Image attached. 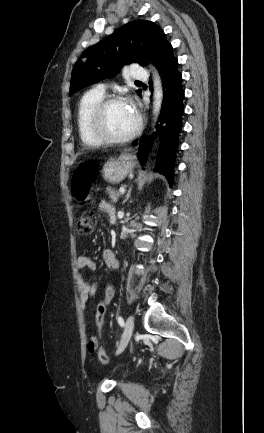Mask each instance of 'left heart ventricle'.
Here are the masks:
<instances>
[{"mask_svg":"<svg viewBox=\"0 0 264 433\" xmlns=\"http://www.w3.org/2000/svg\"><path fill=\"white\" fill-rule=\"evenodd\" d=\"M137 115L128 103L110 106L105 114V129L113 136H124L136 125Z\"/></svg>","mask_w":264,"mask_h":433,"instance_id":"1","label":"left heart ventricle"}]
</instances>
